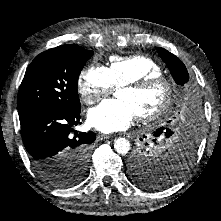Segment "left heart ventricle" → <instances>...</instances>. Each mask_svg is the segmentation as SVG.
I'll return each instance as SVG.
<instances>
[{"label": "left heart ventricle", "mask_w": 221, "mask_h": 221, "mask_svg": "<svg viewBox=\"0 0 221 221\" xmlns=\"http://www.w3.org/2000/svg\"><path fill=\"white\" fill-rule=\"evenodd\" d=\"M117 97L129 103L135 115L148 114L158 109L166 98V89L157 85L143 92L120 89Z\"/></svg>", "instance_id": "obj_1"}]
</instances>
